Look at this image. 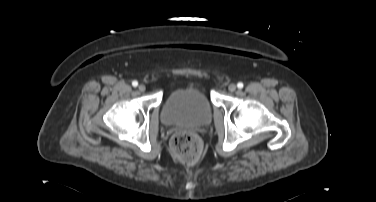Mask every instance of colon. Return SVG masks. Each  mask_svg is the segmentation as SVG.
I'll use <instances>...</instances> for the list:
<instances>
[{
    "mask_svg": "<svg viewBox=\"0 0 376 202\" xmlns=\"http://www.w3.org/2000/svg\"><path fill=\"white\" fill-rule=\"evenodd\" d=\"M170 148L179 161L192 163L200 157L203 145L197 134L179 131L171 138Z\"/></svg>",
    "mask_w": 376,
    "mask_h": 202,
    "instance_id": "1",
    "label": "colon"
}]
</instances>
